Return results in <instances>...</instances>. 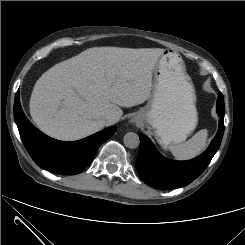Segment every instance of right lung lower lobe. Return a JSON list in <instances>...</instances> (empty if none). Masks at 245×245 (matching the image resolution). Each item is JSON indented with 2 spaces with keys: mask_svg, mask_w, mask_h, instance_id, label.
Returning a JSON list of instances; mask_svg holds the SVG:
<instances>
[{
  "mask_svg": "<svg viewBox=\"0 0 245 245\" xmlns=\"http://www.w3.org/2000/svg\"><path fill=\"white\" fill-rule=\"evenodd\" d=\"M14 119L22 142L35 163L45 170L60 175H75L82 172L93 161L100 145L116 131V127H109L74 142L52 139L27 119L21 108L19 91L14 102Z\"/></svg>",
  "mask_w": 245,
  "mask_h": 245,
  "instance_id": "1",
  "label": "right lung lower lobe"
}]
</instances>
